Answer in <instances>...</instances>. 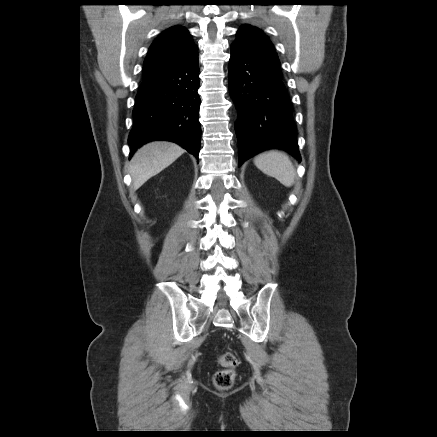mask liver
<instances>
[{
  "label": "liver",
  "instance_id": "liver-1",
  "mask_svg": "<svg viewBox=\"0 0 437 437\" xmlns=\"http://www.w3.org/2000/svg\"><path fill=\"white\" fill-rule=\"evenodd\" d=\"M183 153L184 149L179 145L166 141L150 142L138 149L129 164L134 190L171 165Z\"/></svg>",
  "mask_w": 437,
  "mask_h": 437
}]
</instances>
